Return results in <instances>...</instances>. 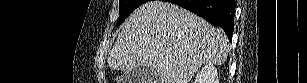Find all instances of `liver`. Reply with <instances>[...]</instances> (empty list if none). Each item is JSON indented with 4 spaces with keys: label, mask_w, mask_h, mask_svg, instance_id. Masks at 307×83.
I'll return each instance as SVG.
<instances>
[{
    "label": "liver",
    "mask_w": 307,
    "mask_h": 83,
    "mask_svg": "<svg viewBox=\"0 0 307 83\" xmlns=\"http://www.w3.org/2000/svg\"><path fill=\"white\" fill-rule=\"evenodd\" d=\"M225 32L175 4L150 1L124 22L108 55L112 70L152 67L157 83H189L201 65L225 62Z\"/></svg>",
    "instance_id": "obj_1"
}]
</instances>
